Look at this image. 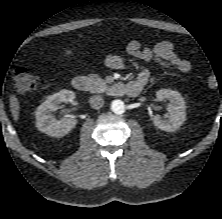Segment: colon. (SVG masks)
<instances>
[{"instance_id":"obj_1","label":"colon","mask_w":222,"mask_h":219,"mask_svg":"<svg viewBox=\"0 0 222 219\" xmlns=\"http://www.w3.org/2000/svg\"><path fill=\"white\" fill-rule=\"evenodd\" d=\"M218 85V80L214 76L207 78V86L214 88ZM14 86L18 92L30 93L39 89L38 78L32 75L25 67H19L14 71Z\"/></svg>"}]
</instances>
